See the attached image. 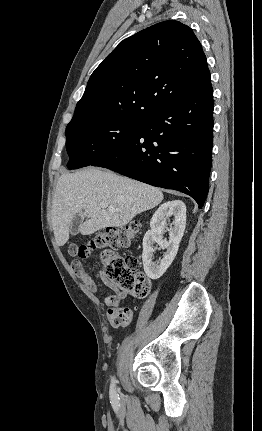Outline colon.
I'll return each instance as SVG.
<instances>
[{
  "label": "colon",
  "instance_id": "obj_1",
  "mask_svg": "<svg viewBox=\"0 0 262 431\" xmlns=\"http://www.w3.org/2000/svg\"><path fill=\"white\" fill-rule=\"evenodd\" d=\"M137 227L128 225L110 228L95 235L91 240L82 244H71L69 253L80 259H88L97 250L110 251L129 246L135 239ZM140 260L133 256L107 254L102 260L101 274L109 285L127 290L134 298L142 299L147 296L150 283L146 275L139 271ZM73 268L76 273L85 270L80 260H75ZM131 313L128 309H121L110 316L113 327H122L130 323Z\"/></svg>",
  "mask_w": 262,
  "mask_h": 431
}]
</instances>
